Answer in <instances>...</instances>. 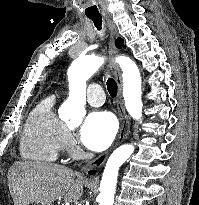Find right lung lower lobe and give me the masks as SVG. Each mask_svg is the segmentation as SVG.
I'll return each instance as SVG.
<instances>
[{
	"label": "right lung lower lobe",
	"instance_id": "98d812e1",
	"mask_svg": "<svg viewBox=\"0 0 199 205\" xmlns=\"http://www.w3.org/2000/svg\"><path fill=\"white\" fill-rule=\"evenodd\" d=\"M94 173H95V171H94V170L89 172V174H94Z\"/></svg>",
	"mask_w": 199,
	"mask_h": 205
}]
</instances>
